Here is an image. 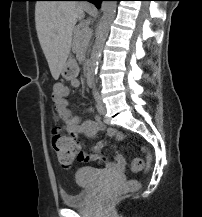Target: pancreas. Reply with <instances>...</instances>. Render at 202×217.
<instances>
[{
  "label": "pancreas",
  "mask_w": 202,
  "mask_h": 217,
  "mask_svg": "<svg viewBox=\"0 0 202 217\" xmlns=\"http://www.w3.org/2000/svg\"><path fill=\"white\" fill-rule=\"evenodd\" d=\"M92 32L88 27L77 28L74 31L72 50L75 53L85 52L89 46Z\"/></svg>",
  "instance_id": "pancreas-1"
}]
</instances>
